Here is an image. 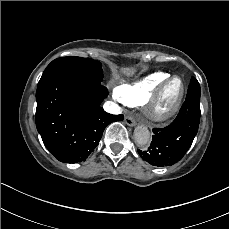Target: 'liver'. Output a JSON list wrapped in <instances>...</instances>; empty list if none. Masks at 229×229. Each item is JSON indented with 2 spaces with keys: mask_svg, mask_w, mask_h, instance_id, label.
Here are the masks:
<instances>
[{
  "mask_svg": "<svg viewBox=\"0 0 229 229\" xmlns=\"http://www.w3.org/2000/svg\"><path fill=\"white\" fill-rule=\"evenodd\" d=\"M135 71L136 70L134 67L121 68V72L126 76H132L135 73ZM113 77L115 78V80H118L120 78L116 71L113 72Z\"/></svg>",
  "mask_w": 229,
  "mask_h": 229,
  "instance_id": "liver-1",
  "label": "liver"
}]
</instances>
